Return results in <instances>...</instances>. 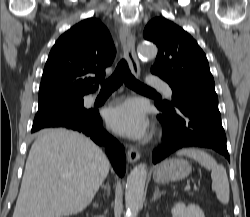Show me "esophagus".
<instances>
[{
	"mask_svg": "<svg viewBox=\"0 0 250 217\" xmlns=\"http://www.w3.org/2000/svg\"><path fill=\"white\" fill-rule=\"evenodd\" d=\"M119 34L124 56L129 63L132 73L138 77L140 74V66L135 51V37L126 25L120 28ZM127 158L128 161L133 164L140 159V152L135 147L130 146L127 152Z\"/></svg>",
	"mask_w": 250,
	"mask_h": 217,
	"instance_id": "esophagus-1",
	"label": "esophagus"
}]
</instances>
